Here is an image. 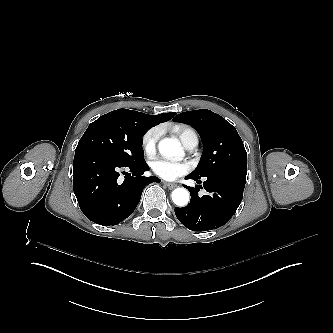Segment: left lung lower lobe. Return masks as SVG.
<instances>
[{
  "label": "left lung lower lobe",
  "mask_w": 333,
  "mask_h": 333,
  "mask_svg": "<svg viewBox=\"0 0 333 333\" xmlns=\"http://www.w3.org/2000/svg\"><path fill=\"white\" fill-rule=\"evenodd\" d=\"M245 170L228 169L220 171L203 183L208 195L198 196L199 188L185 186L190 191L191 203L183 208H175L178 220L193 231H207L226 224L236 212L243 197L246 183ZM186 179L201 181L192 175Z\"/></svg>",
  "instance_id": "1"
}]
</instances>
